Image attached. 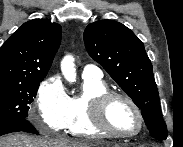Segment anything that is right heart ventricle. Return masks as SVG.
<instances>
[{
    "mask_svg": "<svg viewBox=\"0 0 183 147\" xmlns=\"http://www.w3.org/2000/svg\"><path fill=\"white\" fill-rule=\"evenodd\" d=\"M107 91L108 87L104 81L84 79L82 91L68 97V113L64 128L69 134L83 138L107 135L93 125L90 116L91 100Z\"/></svg>",
    "mask_w": 183,
    "mask_h": 147,
    "instance_id": "1",
    "label": "right heart ventricle"
}]
</instances>
